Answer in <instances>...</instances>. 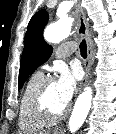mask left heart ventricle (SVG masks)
Masks as SVG:
<instances>
[{"label":"left heart ventricle","instance_id":"1","mask_svg":"<svg viewBox=\"0 0 116 134\" xmlns=\"http://www.w3.org/2000/svg\"><path fill=\"white\" fill-rule=\"evenodd\" d=\"M47 100L50 107L55 111H62L66 107L58 93L56 82L51 83L47 93Z\"/></svg>","mask_w":116,"mask_h":134}]
</instances>
